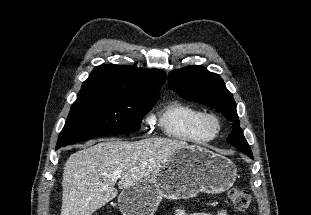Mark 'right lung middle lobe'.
<instances>
[{
  "label": "right lung middle lobe",
  "mask_w": 311,
  "mask_h": 215,
  "mask_svg": "<svg viewBox=\"0 0 311 215\" xmlns=\"http://www.w3.org/2000/svg\"><path fill=\"white\" fill-rule=\"evenodd\" d=\"M159 97H136L105 91H80L62 129L56 150L101 135L133 133Z\"/></svg>",
  "instance_id": "dd1d6c3e"
}]
</instances>
